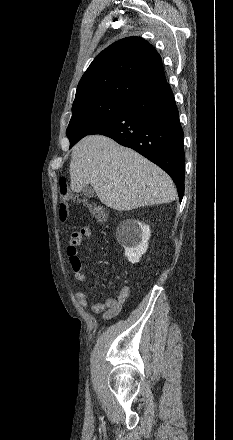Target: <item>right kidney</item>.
I'll return each mask as SVG.
<instances>
[{
	"label": "right kidney",
	"mask_w": 233,
	"mask_h": 440,
	"mask_svg": "<svg viewBox=\"0 0 233 440\" xmlns=\"http://www.w3.org/2000/svg\"><path fill=\"white\" fill-rule=\"evenodd\" d=\"M151 231L148 225L135 220L123 221L117 228V240L125 249V256L132 264L138 263L148 249Z\"/></svg>",
	"instance_id": "ca27d5eb"
}]
</instances>
